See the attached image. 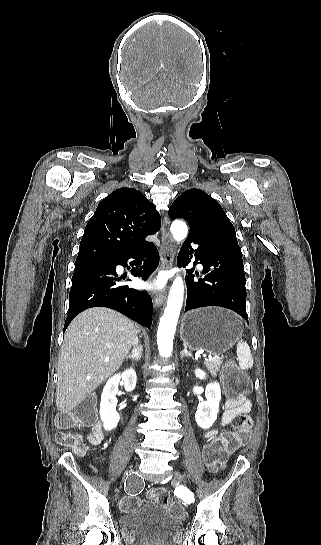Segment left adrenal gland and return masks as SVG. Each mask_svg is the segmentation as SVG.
Segmentation results:
<instances>
[{"mask_svg":"<svg viewBox=\"0 0 321 545\" xmlns=\"http://www.w3.org/2000/svg\"><path fill=\"white\" fill-rule=\"evenodd\" d=\"M180 357L181 359H183V357H191V359H194L192 353H189V351H187V347H184V351H181Z\"/></svg>","mask_w":321,"mask_h":545,"instance_id":"a2214340","label":"left adrenal gland"}]
</instances>
